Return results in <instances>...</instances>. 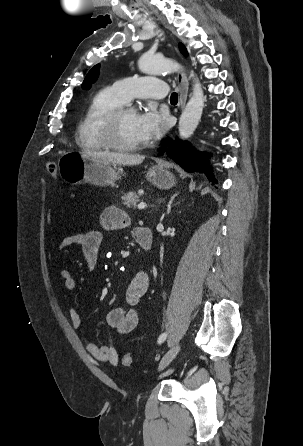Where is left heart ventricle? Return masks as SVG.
<instances>
[{"label":"left heart ventricle","mask_w":303,"mask_h":446,"mask_svg":"<svg viewBox=\"0 0 303 446\" xmlns=\"http://www.w3.org/2000/svg\"><path fill=\"white\" fill-rule=\"evenodd\" d=\"M136 115V112L131 109L126 110L122 115L119 126V139L121 142L127 144L142 142L136 132Z\"/></svg>","instance_id":"obj_1"}]
</instances>
